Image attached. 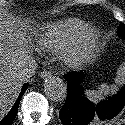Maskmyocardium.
<instances>
[{"label": "myocardium", "instance_id": "myocardium-1", "mask_svg": "<svg viewBox=\"0 0 125 125\" xmlns=\"http://www.w3.org/2000/svg\"><path fill=\"white\" fill-rule=\"evenodd\" d=\"M101 32L89 27L76 36L61 52L63 61L69 66H77L94 58L100 48Z\"/></svg>", "mask_w": 125, "mask_h": 125}]
</instances>
